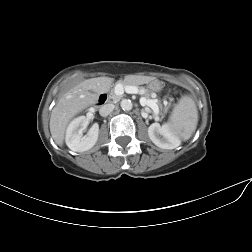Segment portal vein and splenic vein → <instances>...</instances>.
Here are the masks:
<instances>
[{
    "instance_id": "obj_1",
    "label": "portal vein and splenic vein",
    "mask_w": 252,
    "mask_h": 252,
    "mask_svg": "<svg viewBox=\"0 0 252 252\" xmlns=\"http://www.w3.org/2000/svg\"><path fill=\"white\" fill-rule=\"evenodd\" d=\"M115 91L117 94H123L124 91L128 94H137L139 92L136 86H126L125 88H123L122 85H116ZM140 103L142 106H145V105L150 106L155 112V114H158L159 108L152 100H147L142 97L140 98Z\"/></svg>"
}]
</instances>
